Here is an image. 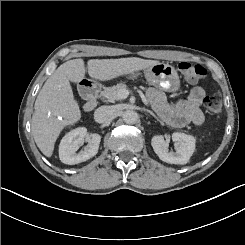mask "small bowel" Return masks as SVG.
<instances>
[{"mask_svg": "<svg viewBox=\"0 0 245 245\" xmlns=\"http://www.w3.org/2000/svg\"><path fill=\"white\" fill-rule=\"evenodd\" d=\"M146 96L156 113L173 127L200 126L205 121L202 105L206 93L200 86L193 87L186 99L174 104L168 103L164 93L156 88L148 89Z\"/></svg>", "mask_w": 245, "mask_h": 245, "instance_id": "obj_1", "label": "small bowel"}]
</instances>
